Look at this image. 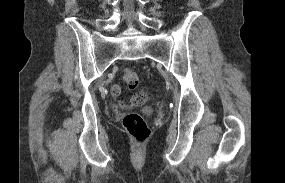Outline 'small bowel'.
Masks as SVG:
<instances>
[{"label": "small bowel", "mask_w": 285, "mask_h": 183, "mask_svg": "<svg viewBox=\"0 0 285 183\" xmlns=\"http://www.w3.org/2000/svg\"><path fill=\"white\" fill-rule=\"evenodd\" d=\"M111 94L115 98L119 97L121 94V87L119 85H113L111 87Z\"/></svg>", "instance_id": "small-bowel-1"}]
</instances>
